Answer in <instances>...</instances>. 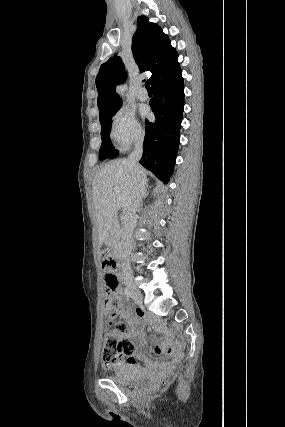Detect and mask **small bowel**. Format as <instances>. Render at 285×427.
I'll return each mask as SVG.
<instances>
[{"label":"small bowel","instance_id":"small-bowel-1","mask_svg":"<svg viewBox=\"0 0 285 427\" xmlns=\"http://www.w3.org/2000/svg\"><path fill=\"white\" fill-rule=\"evenodd\" d=\"M121 318L126 322V324L129 327V331L126 334H124V336L126 337H133L132 329L149 321V319L144 315H140V314L131 315L128 308H125V310L121 313ZM133 338L135 342L140 341V338L138 336H134ZM181 349H182V344L178 343L176 347H173V355L169 359H163L159 364L148 360L145 357V355L140 354L136 351H134L130 356H127L126 360L130 362L138 359V360H141L143 364L147 368H149L151 371L156 372L158 369H161L163 374H168L181 361L182 359ZM122 362L123 361L121 360L118 364H121Z\"/></svg>","mask_w":285,"mask_h":427}]
</instances>
